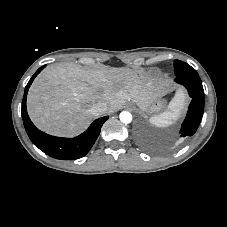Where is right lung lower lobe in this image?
Wrapping results in <instances>:
<instances>
[{"label":"right lung lower lobe","mask_w":227,"mask_h":227,"mask_svg":"<svg viewBox=\"0 0 227 227\" xmlns=\"http://www.w3.org/2000/svg\"><path fill=\"white\" fill-rule=\"evenodd\" d=\"M44 67L45 66H42L35 72L25 88L22 101V119L26 132L35 146L53 158L62 160H75L81 158L92 148L99 136L100 129L103 123L108 119V116L95 120L84 133L75 138L55 137L38 130L27 114L26 98L34 78L44 69Z\"/></svg>","instance_id":"right-lung-lower-lobe-1"}]
</instances>
